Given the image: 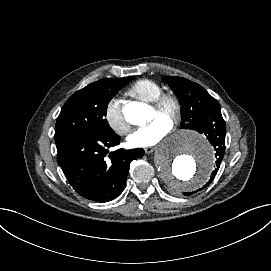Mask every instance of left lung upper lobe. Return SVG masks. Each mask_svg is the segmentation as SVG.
<instances>
[{"label": "left lung upper lobe", "mask_w": 271, "mask_h": 271, "mask_svg": "<svg viewBox=\"0 0 271 271\" xmlns=\"http://www.w3.org/2000/svg\"><path fill=\"white\" fill-rule=\"evenodd\" d=\"M163 81L174 91L182 106V129L196 130L212 115L221 113L218 101L199 84L177 76L164 77Z\"/></svg>", "instance_id": "5c2ea615"}]
</instances>
